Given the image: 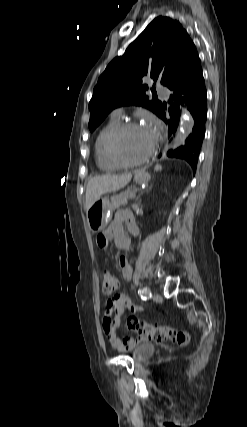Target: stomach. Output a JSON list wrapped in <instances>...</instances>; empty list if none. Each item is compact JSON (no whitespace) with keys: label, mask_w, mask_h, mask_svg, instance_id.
<instances>
[{"label":"stomach","mask_w":247,"mask_h":427,"mask_svg":"<svg viewBox=\"0 0 247 427\" xmlns=\"http://www.w3.org/2000/svg\"><path fill=\"white\" fill-rule=\"evenodd\" d=\"M149 179L150 176L147 173L140 172L135 176V182L138 184H145ZM112 210V205L107 197L99 198L87 210V221L92 232H99L107 226Z\"/></svg>","instance_id":"1"}]
</instances>
